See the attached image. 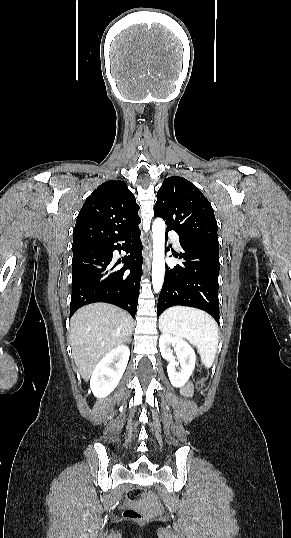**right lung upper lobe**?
I'll use <instances>...</instances> for the list:
<instances>
[{
  "label": "right lung upper lobe",
  "mask_w": 291,
  "mask_h": 538,
  "mask_svg": "<svg viewBox=\"0 0 291 538\" xmlns=\"http://www.w3.org/2000/svg\"><path fill=\"white\" fill-rule=\"evenodd\" d=\"M139 206L121 180L101 184L86 199L73 231V251L104 245L138 227Z\"/></svg>",
  "instance_id": "obj_1"
}]
</instances>
